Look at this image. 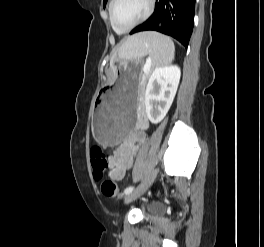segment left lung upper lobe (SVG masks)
Instances as JSON below:
<instances>
[{
  "label": "left lung upper lobe",
  "mask_w": 264,
  "mask_h": 247,
  "mask_svg": "<svg viewBox=\"0 0 264 247\" xmlns=\"http://www.w3.org/2000/svg\"><path fill=\"white\" fill-rule=\"evenodd\" d=\"M107 0H103V7H105Z\"/></svg>",
  "instance_id": "5c2ea615"
}]
</instances>
